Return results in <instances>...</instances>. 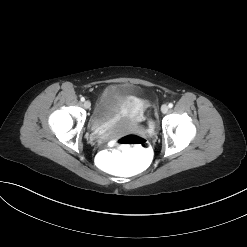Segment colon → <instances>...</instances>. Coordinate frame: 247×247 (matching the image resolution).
<instances>
[{
  "label": "colon",
  "mask_w": 247,
  "mask_h": 247,
  "mask_svg": "<svg viewBox=\"0 0 247 247\" xmlns=\"http://www.w3.org/2000/svg\"><path fill=\"white\" fill-rule=\"evenodd\" d=\"M143 135L151 138L154 135L156 121L148 118L145 121ZM137 134H127L117 141L118 150L103 149L97 155V166L105 173H117L136 176L144 172L155 160V149L147 140Z\"/></svg>",
  "instance_id": "1"
}]
</instances>
